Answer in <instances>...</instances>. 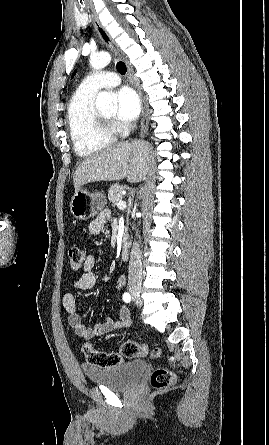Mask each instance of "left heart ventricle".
I'll list each match as a JSON object with an SVG mask.
<instances>
[{
	"label": "left heart ventricle",
	"instance_id": "b2bd125f",
	"mask_svg": "<svg viewBox=\"0 0 269 445\" xmlns=\"http://www.w3.org/2000/svg\"><path fill=\"white\" fill-rule=\"evenodd\" d=\"M106 117H111L114 114V111H106L102 113Z\"/></svg>",
	"mask_w": 269,
	"mask_h": 445
}]
</instances>
